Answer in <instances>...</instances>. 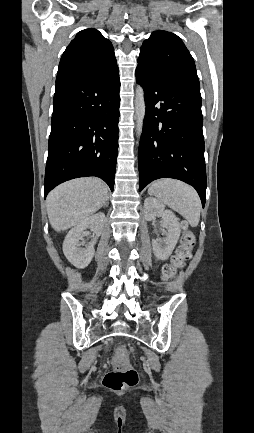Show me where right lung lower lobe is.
Returning a JSON list of instances; mask_svg holds the SVG:
<instances>
[{"instance_id":"right-lung-lower-lobe-1","label":"right lung lower lobe","mask_w":254,"mask_h":433,"mask_svg":"<svg viewBox=\"0 0 254 433\" xmlns=\"http://www.w3.org/2000/svg\"><path fill=\"white\" fill-rule=\"evenodd\" d=\"M118 68L56 83L45 171V197L67 180L96 176L113 191L118 154Z\"/></svg>"}]
</instances>
